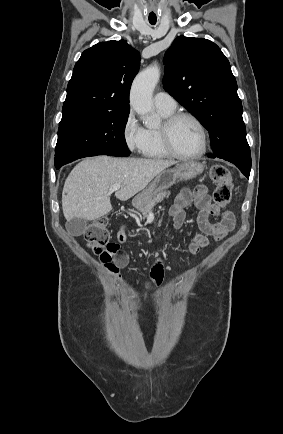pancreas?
I'll use <instances>...</instances> for the list:
<instances>
[{
    "label": "pancreas",
    "instance_id": "obj_1",
    "mask_svg": "<svg viewBox=\"0 0 283 434\" xmlns=\"http://www.w3.org/2000/svg\"><path fill=\"white\" fill-rule=\"evenodd\" d=\"M170 195L169 191H164L155 196L148 204L140 207L138 210L141 212L143 219H145L151 210L156 206L157 203L161 202L164 198Z\"/></svg>",
    "mask_w": 283,
    "mask_h": 434
}]
</instances>
